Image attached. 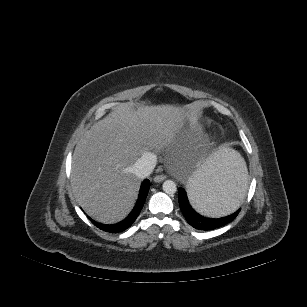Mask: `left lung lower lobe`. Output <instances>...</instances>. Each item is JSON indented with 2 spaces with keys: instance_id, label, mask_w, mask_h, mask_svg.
I'll list each match as a JSON object with an SVG mask.
<instances>
[{
  "instance_id": "obj_1",
  "label": "left lung lower lobe",
  "mask_w": 307,
  "mask_h": 307,
  "mask_svg": "<svg viewBox=\"0 0 307 307\" xmlns=\"http://www.w3.org/2000/svg\"><path fill=\"white\" fill-rule=\"evenodd\" d=\"M247 190V177L238 171H232L226 180V191L237 193L241 201ZM179 206L187 222L198 230H213L233 221L240 212V208L231 215L221 218H207L197 213L189 204L186 191L179 187Z\"/></svg>"
}]
</instances>
